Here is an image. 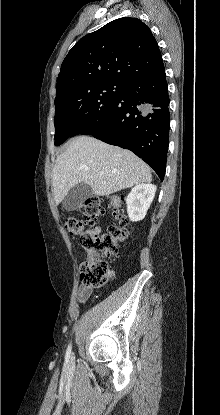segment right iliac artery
I'll return each instance as SVG.
<instances>
[{
  "label": "right iliac artery",
  "mask_w": 220,
  "mask_h": 415,
  "mask_svg": "<svg viewBox=\"0 0 220 415\" xmlns=\"http://www.w3.org/2000/svg\"><path fill=\"white\" fill-rule=\"evenodd\" d=\"M70 354H71V344L68 346L67 351H66V361L69 360Z\"/></svg>",
  "instance_id": "right-iliac-artery-1"
}]
</instances>
